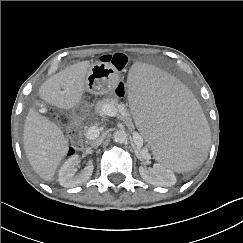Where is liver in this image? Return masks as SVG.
<instances>
[{
  "label": "liver",
  "mask_w": 243,
  "mask_h": 243,
  "mask_svg": "<svg viewBox=\"0 0 243 243\" xmlns=\"http://www.w3.org/2000/svg\"><path fill=\"white\" fill-rule=\"evenodd\" d=\"M89 61L78 62L48 78L39 89V96L58 108H76L83 98ZM23 144L33 170L51 181L67 154L69 143L60 127L30 109L24 124Z\"/></svg>",
  "instance_id": "liver-1"
}]
</instances>
